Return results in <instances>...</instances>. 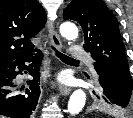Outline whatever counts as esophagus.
I'll use <instances>...</instances> for the list:
<instances>
[{"instance_id":"34e87169","label":"esophagus","mask_w":133,"mask_h":118,"mask_svg":"<svg viewBox=\"0 0 133 118\" xmlns=\"http://www.w3.org/2000/svg\"><path fill=\"white\" fill-rule=\"evenodd\" d=\"M47 28H48V34L52 45L57 49H61L62 43L54 28V24L52 21L47 22ZM59 91L63 96H66L71 92V88L69 86L59 85Z\"/></svg>"}]
</instances>
